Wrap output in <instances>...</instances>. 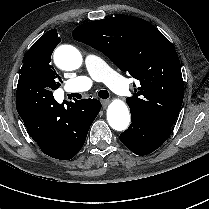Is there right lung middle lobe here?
<instances>
[{
  "mask_svg": "<svg viewBox=\"0 0 209 209\" xmlns=\"http://www.w3.org/2000/svg\"><path fill=\"white\" fill-rule=\"evenodd\" d=\"M55 47L56 44L52 41H36L23 58L19 82L32 84L48 94H53L61 82L51 63Z\"/></svg>",
  "mask_w": 209,
  "mask_h": 209,
  "instance_id": "dd1d6c3e",
  "label": "right lung middle lobe"
}]
</instances>
